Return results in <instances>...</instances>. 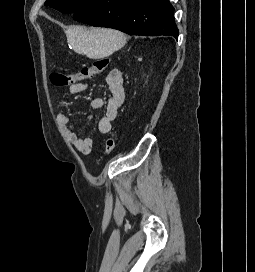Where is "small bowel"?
<instances>
[{"label": "small bowel", "instance_id": "obj_1", "mask_svg": "<svg viewBox=\"0 0 255 272\" xmlns=\"http://www.w3.org/2000/svg\"><path fill=\"white\" fill-rule=\"evenodd\" d=\"M106 83L109 91V97L105 105L103 116L99 119L97 129L101 134H107L111 131L113 121L123 104L125 92L123 85V73L119 69L111 70L106 77ZM87 88V83L82 81L70 85L69 94L76 95ZM104 105L101 98H95L91 102L93 108H100ZM57 121L66 135L69 142L82 155H88L92 149V139L88 136H82L76 132L75 125L70 117L65 113L57 115Z\"/></svg>", "mask_w": 255, "mask_h": 272}]
</instances>
